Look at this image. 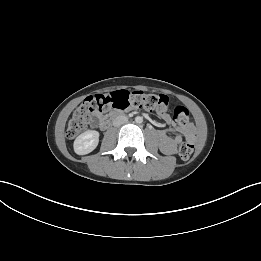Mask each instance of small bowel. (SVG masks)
<instances>
[{"mask_svg": "<svg viewBox=\"0 0 261 261\" xmlns=\"http://www.w3.org/2000/svg\"><path fill=\"white\" fill-rule=\"evenodd\" d=\"M162 120L169 124L171 123V117L167 113H160ZM105 113H97L91 119V125L96 126L98 123H102L106 119ZM177 130L181 132L185 138L189 141H193L195 138V130L192 125H186L178 127ZM160 150L167 155L175 154L177 152L178 145L182 142V136H171L167 130H159L156 133Z\"/></svg>", "mask_w": 261, "mask_h": 261, "instance_id": "obj_1", "label": "small bowel"}]
</instances>
